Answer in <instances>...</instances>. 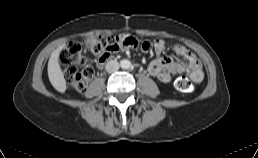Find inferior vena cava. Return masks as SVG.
<instances>
[{
	"mask_svg": "<svg viewBox=\"0 0 258 158\" xmlns=\"http://www.w3.org/2000/svg\"><path fill=\"white\" fill-rule=\"evenodd\" d=\"M120 65L116 60H111L106 64V71L108 73L115 72L119 69Z\"/></svg>",
	"mask_w": 258,
	"mask_h": 158,
	"instance_id": "obj_1",
	"label": "inferior vena cava"
}]
</instances>
